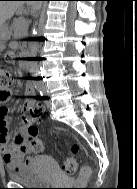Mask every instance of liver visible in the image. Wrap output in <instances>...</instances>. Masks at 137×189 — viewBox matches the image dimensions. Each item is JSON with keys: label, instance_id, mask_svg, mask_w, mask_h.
I'll use <instances>...</instances> for the list:
<instances>
[{"label": "liver", "instance_id": "6515ba94", "mask_svg": "<svg viewBox=\"0 0 137 189\" xmlns=\"http://www.w3.org/2000/svg\"><path fill=\"white\" fill-rule=\"evenodd\" d=\"M22 1H0V27H2L6 20L10 19L15 11L22 5ZM34 9H38L37 2H30Z\"/></svg>", "mask_w": 137, "mask_h": 189}]
</instances>
